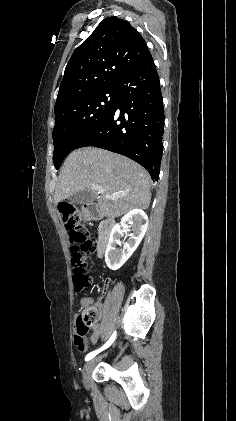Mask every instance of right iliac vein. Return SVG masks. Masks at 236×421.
<instances>
[{
    "mask_svg": "<svg viewBox=\"0 0 236 421\" xmlns=\"http://www.w3.org/2000/svg\"><path fill=\"white\" fill-rule=\"evenodd\" d=\"M100 358L101 357L92 359L85 364L83 372H82L83 383H84L85 386L89 385V379H90V374H91L92 368H93L94 364L97 361L100 360Z\"/></svg>",
    "mask_w": 236,
    "mask_h": 421,
    "instance_id": "63e3f726",
    "label": "right iliac vein"
}]
</instances>
